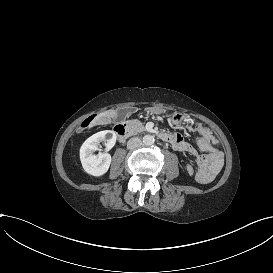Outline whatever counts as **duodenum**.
<instances>
[{
    "label": "duodenum",
    "instance_id": "1",
    "mask_svg": "<svg viewBox=\"0 0 273 273\" xmlns=\"http://www.w3.org/2000/svg\"><path fill=\"white\" fill-rule=\"evenodd\" d=\"M114 131L120 141H124L131 133L129 127L125 124H119L114 128ZM159 137L165 141V142H170L171 137L170 135L166 133H160Z\"/></svg>",
    "mask_w": 273,
    "mask_h": 273
}]
</instances>
